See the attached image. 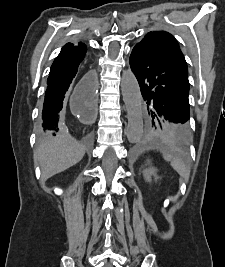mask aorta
Returning a JSON list of instances; mask_svg holds the SVG:
<instances>
[{"mask_svg":"<svg viewBox=\"0 0 225 267\" xmlns=\"http://www.w3.org/2000/svg\"><path fill=\"white\" fill-rule=\"evenodd\" d=\"M121 90L128 118L127 139L136 143L143 134V98L138 81L130 69L123 73Z\"/></svg>","mask_w":225,"mask_h":267,"instance_id":"762f6f07","label":"aorta"}]
</instances>
